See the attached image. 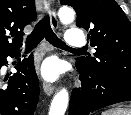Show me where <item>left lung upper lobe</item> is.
I'll return each mask as SVG.
<instances>
[{"mask_svg": "<svg viewBox=\"0 0 131 115\" xmlns=\"http://www.w3.org/2000/svg\"><path fill=\"white\" fill-rule=\"evenodd\" d=\"M77 13V27L89 31L94 57H79L76 65L105 78L131 81V23L114 0H61Z\"/></svg>", "mask_w": 131, "mask_h": 115, "instance_id": "left-lung-upper-lobe-1", "label": "left lung upper lobe"}]
</instances>
